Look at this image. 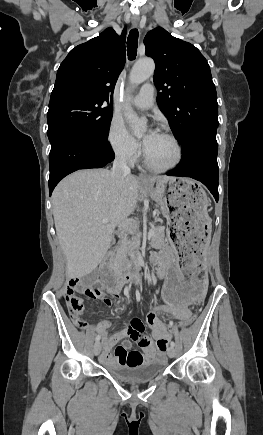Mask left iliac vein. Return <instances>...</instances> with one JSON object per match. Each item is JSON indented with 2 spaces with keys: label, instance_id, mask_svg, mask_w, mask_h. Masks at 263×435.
Returning <instances> with one entry per match:
<instances>
[{
  "label": "left iliac vein",
  "instance_id": "left-iliac-vein-1",
  "mask_svg": "<svg viewBox=\"0 0 263 435\" xmlns=\"http://www.w3.org/2000/svg\"><path fill=\"white\" fill-rule=\"evenodd\" d=\"M175 353H176V351H175V348H174V347H169V348H168L167 354H168V356H169L170 358H173V357L175 356Z\"/></svg>",
  "mask_w": 263,
  "mask_h": 435
}]
</instances>
